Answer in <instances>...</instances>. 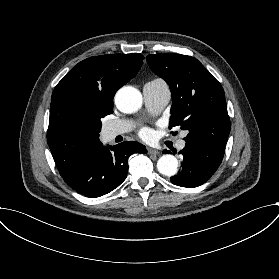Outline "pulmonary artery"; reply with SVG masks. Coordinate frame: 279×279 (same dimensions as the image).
I'll return each mask as SVG.
<instances>
[{"label": "pulmonary artery", "instance_id": "e3ab8cb5", "mask_svg": "<svg viewBox=\"0 0 279 279\" xmlns=\"http://www.w3.org/2000/svg\"><path fill=\"white\" fill-rule=\"evenodd\" d=\"M143 97L146 107L152 113H159L167 105L171 98V92L167 83L162 79H154L143 87ZM134 128L131 120H118L105 125L104 132L109 137L123 135ZM185 146L184 141L178 144L179 149Z\"/></svg>", "mask_w": 279, "mask_h": 279}]
</instances>
